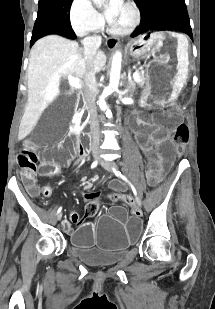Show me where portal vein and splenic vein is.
I'll list each match as a JSON object with an SVG mask.
<instances>
[{"label":"portal vein and splenic vein","mask_w":215,"mask_h":309,"mask_svg":"<svg viewBox=\"0 0 215 309\" xmlns=\"http://www.w3.org/2000/svg\"><path fill=\"white\" fill-rule=\"evenodd\" d=\"M134 80H140V76L138 74V72H134V74H132ZM69 78V82L71 84V86H75V88H81V84H80V78H75V76H68Z\"/></svg>","instance_id":"portal-vein-and-splenic-vein-1"}]
</instances>
